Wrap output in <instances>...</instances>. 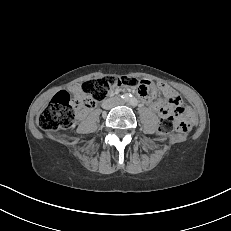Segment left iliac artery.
I'll return each mask as SVG.
<instances>
[{
  "instance_id": "1",
  "label": "left iliac artery",
  "mask_w": 231,
  "mask_h": 231,
  "mask_svg": "<svg viewBox=\"0 0 231 231\" xmlns=\"http://www.w3.org/2000/svg\"><path fill=\"white\" fill-rule=\"evenodd\" d=\"M129 103H130L132 106H137L138 101H137L136 98H131L130 101H129Z\"/></svg>"
}]
</instances>
